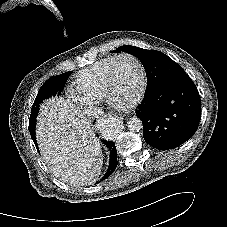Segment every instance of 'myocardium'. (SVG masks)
I'll use <instances>...</instances> for the list:
<instances>
[{
	"mask_svg": "<svg viewBox=\"0 0 227 227\" xmlns=\"http://www.w3.org/2000/svg\"><path fill=\"white\" fill-rule=\"evenodd\" d=\"M124 58H130L137 64V66L140 70L141 84H140V89H139L138 94L131 102L126 103V104H120V103H117L113 98L114 72H115V68H116V65L118 64V62ZM146 90H147V73H146V69H145L143 63L141 62V60L138 57H136L135 55L129 54V53H124V54L118 55L115 58V60L113 61V63L111 64V66L109 67L107 75H106L105 96H104L106 101L111 106L120 107V108H132L141 102V100L144 98Z\"/></svg>",
	"mask_w": 227,
	"mask_h": 227,
	"instance_id": "f54148a6",
	"label": "myocardium"
}]
</instances>
